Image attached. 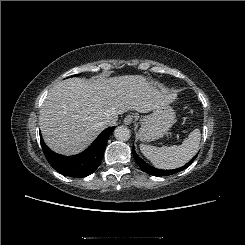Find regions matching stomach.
Masks as SVG:
<instances>
[{"instance_id": "obj_1", "label": "stomach", "mask_w": 245, "mask_h": 245, "mask_svg": "<svg viewBox=\"0 0 245 245\" xmlns=\"http://www.w3.org/2000/svg\"><path fill=\"white\" fill-rule=\"evenodd\" d=\"M175 118V112L169 105L154 110L152 114L140 120L139 139L154 141L163 137L175 123Z\"/></svg>"}]
</instances>
